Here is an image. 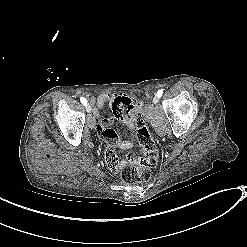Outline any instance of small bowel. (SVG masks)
<instances>
[{"instance_id": "small-bowel-1", "label": "small bowel", "mask_w": 247, "mask_h": 247, "mask_svg": "<svg viewBox=\"0 0 247 247\" xmlns=\"http://www.w3.org/2000/svg\"><path fill=\"white\" fill-rule=\"evenodd\" d=\"M108 101H110L111 103L112 113L114 118L121 120L123 122V126L126 132L131 133L134 129V119L123 117L121 112V107L123 106L125 111L127 112L131 111L132 115L137 116L139 115V113L143 111V106L141 104H136L135 100L127 99L123 96L110 97L107 95H102L99 96L96 100V104L98 106L94 110L96 116L102 115L103 110L100 107H102L103 104H105ZM97 124L98 126L95 127L93 130L95 136L97 137L102 136V138L104 139H109L110 143L113 145L119 143L120 137L117 134L116 130L110 128L106 129V127L109 124V121L106 117L104 116L99 117L97 120ZM131 145L132 144L130 141H124L120 144V146H114V148L110 147L107 149L105 157L108 162L107 167L111 172L116 173L120 169V165L116 156L117 154L116 149H121V148L127 149L130 148Z\"/></svg>"}]
</instances>
